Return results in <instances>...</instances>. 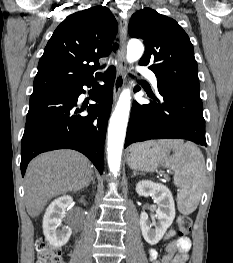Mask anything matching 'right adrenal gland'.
Returning a JSON list of instances; mask_svg holds the SVG:
<instances>
[{
	"label": "right adrenal gland",
	"instance_id": "2a0ac1e0",
	"mask_svg": "<svg viewBox=\"0 0 233 263\" xmlns=\"http://www.w3.org/2000/svg\"><path fill=\"white\" fill-rule=\"evenodd\" d=\"M91 181H92V184L94 185L95 184V177H94V174L92 175L91 177ZM88 187V186H87Z\"/></svg>",
	"mask_w": 233,
	"mask_h": 263
}]
</instances>
